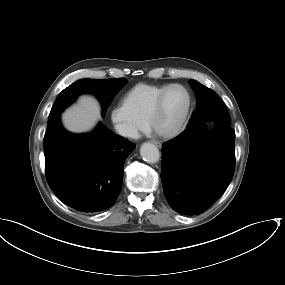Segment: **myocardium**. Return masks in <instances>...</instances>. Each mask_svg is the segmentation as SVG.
Returning <instances> with one entry per match:
<instances>
[{"label": "myocardium", "instance_id": "obj_1", "mask_svg": "<svg viewBox=\"0 0 285 285\" xmlns=\"http://www.w3.org/2000/svg\"><path fill=\"white\" fill-rule=\"evenodd\" d=\"M174 87H180L185 91V93L187 95V104H186V107H185V110H184L182 116L180 117V119L178 120L176 125L169 130H162L155 125V121L163 109L164 101H165L167 93L169 92L170 89H172ZM191 108H192V96H191V93L188 90V88L186 86H184L183 84H180V83H172V84L167 85L162 90V92L158 96L156 102L154 103V105L150 109L145 121L151 127V129L154 131V133L157 134L158 136L163 137V138H172V137H175L176 135H178L182 131V129L184 128V126L188 120V117L190 115Z\"/></svg>", "mask_w": 285, "mask_h": 285}]
</instances>
